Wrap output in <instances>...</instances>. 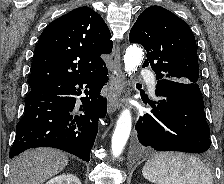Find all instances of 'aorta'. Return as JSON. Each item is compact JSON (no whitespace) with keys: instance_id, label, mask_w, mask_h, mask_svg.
Wrapping results in <instances>:
<instances>
[{"instance_id":"1","label":"aorta","mask_w":224,"mask_h":184,"mask_svg":"<svg viewBox=\"0 0 224 184\" xmlns=\"http://www.w3.org/2000/svg\"><path fill=\"white\" fill-rule=\"evenodd\" d=\"M143 58L144 53L141 47L137 45L129 46L124 55L125 72L130 76L137 70L138 66L142 63ZM131 127V113L130 110L126 108L121 112L112 136L111 149L115 158L119 157L122 153L129 138Z\"/></svg>"}]
</instances>
